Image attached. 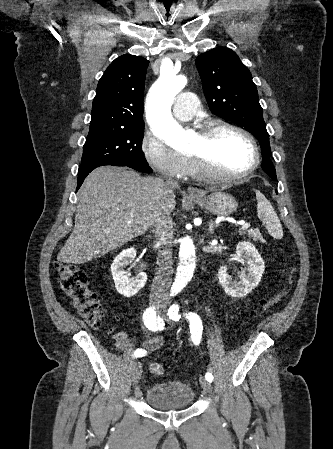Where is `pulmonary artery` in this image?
<instances>
[{
  "mask_svg": "<svg viewBox=\"0 0 333 449\" xmlns=\"http://www.w3.org/2000/svg\"><path fill=\"white\" fill-rule=\"evenodd\" d=\"M197 97L192 92L181 93L173 106V115L180 121H188L193 118L197 111Z\"/></svg>",
  "mask_w": 333,
  "mask_h": 449,
  "instance_id": "obj_1",
  "label": "pulmonary artery"
}]
</instances>
